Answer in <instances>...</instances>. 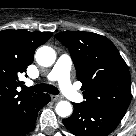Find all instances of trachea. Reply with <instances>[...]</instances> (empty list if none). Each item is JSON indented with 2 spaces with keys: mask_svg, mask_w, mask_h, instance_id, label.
Masks as SVG:
<instances>
[{
  "mask_svg": "<svg viewBox=\"0 0 136 136\" xmlns=\"http://www.w3.org/2000/svg\"><path fill=\"white\" fill-rule=\"evenodd\" d=\"M25 91H33V92H48L53 95H57L59 93L58 89L55 86L48 85L45 83L37 84L32 87H24Z\"/></svg>",
  "mask_w": 136,
  "mask_h": 136,
  "instance_id": "obj_1",
  "label": "trachea"
}]
</instances>
